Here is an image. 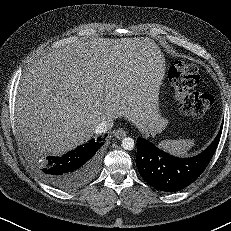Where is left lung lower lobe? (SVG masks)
<instances>
[{
	"label": "left lung lower lobe",
	"mask_w": 231,
	"mask_h": 231,
	"mask_svg": "<svg viewBox=\"0 0 231 231\" xmlns=\"http://www.w3.org/2000/svg\"><path fill=\"white\" fill-rule=\"evenodd\" d=\"M222 127L214 141L200 154L178 158L160 150L146 139H137L136 165L141 177L160 191L175 192L194 182L205 170L219 143Z\"/></svg>",
	"instance_id": "left-lung-lower-lobe-1"
}]
</instances>
